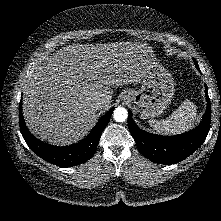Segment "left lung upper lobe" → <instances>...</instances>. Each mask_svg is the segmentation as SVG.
I'll return each instance as SVG.
<instances>
[{"label":"left lung upper lobe","mask_w":221,"mask_h":221,"mask_svg":"<svg viewBox=\"0 0 221 221\" xmlns=\"http://www.w3.org/2000/svg\"><path fill=\"white\" fill-rule=\"evenodd\" d=\"M194 62H195V66H197L198 65V63L194 60Z\"/></svg>","instance_id":"5c2ea615"}]
</instances>
